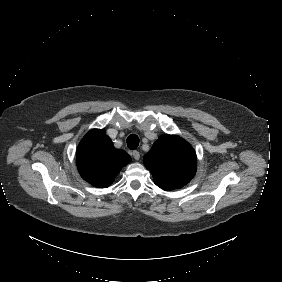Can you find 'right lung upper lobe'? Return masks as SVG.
<instances>
[{
    "mask_svg": "<svg viewBox=\"0 0 282 282\" xmlns=\"http://www.w3.org/2000/svg\"><path fill=\"white\" fill-rule=\"evenodd\" d=\"M76 160L84 180L95 187L106 188L131 158L125 151L114 148L105 130L92 129L79 143Z\"/></svg>",
    "mask_w": 282,
    "mask_h": 282,
    "instance_id": "right-lung-upper-lobe-1",
    "label": "right lung upper lobe"
}]
</instances>
